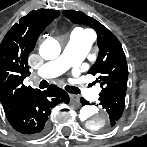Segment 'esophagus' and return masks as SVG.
Wrapping results in <instances>:
<instances>
[{"mask_svg": "<svg viewBox=\"0 0 147 147\" xmlns=\"http://www.w3.org/2000/svg\"><path fill=\"white\" fill-rule=\"evenodd\" d=\"M69 97H70V100H71L73 103H76V104L79 103V100H80L79 96L70 94Z\"/></svg>", "mask_w": 147, "mask_h": 147, "instance_id": "esophagus-1", "label": "esophagus"}]
</instances>
